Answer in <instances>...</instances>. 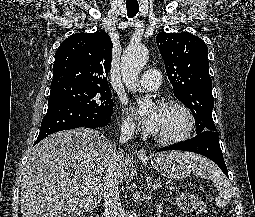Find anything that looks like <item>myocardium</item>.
Returning a JSON list of instances; mask_svg holds the SVG:
<instances>
[{"mask_svg": "<svg viewBox=\"0 0 255 217\" xmlns=\"http://www.w3.org/2000/svg\"><path fill=\"white\" fill-rule=\"evenodd\" d=\"M162 107H176L179 108L186 117V126L185 128L178 134L173 136H155L157 142L165 145L175 144L181 141L186 140L191 135L194 126H195V118L191 109L182 101L178 99H170L162 103Z\"/></svg>", "mask_w": 255, "mask_h": 217, "instance_id": "f54148a6", "label": "myocardium"}]
</instances>
